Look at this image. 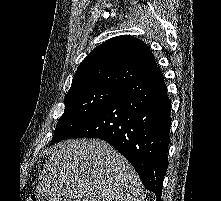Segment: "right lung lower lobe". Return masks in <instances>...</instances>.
Here are the masks:
<instances>
[{
	"label": "right lung lower lobe",
	"instance_id": "right-lung-lower-lobe-1",
	"mask_svg": "<svg viewBox=\"0 0 221 201\" xmlns=\"http://www.w3.org/2000/svg\"><path fill=\"white\" fill-rule=\"evenodd\" d=\"M171 101L159 68L121 88L70 138H99L133 165L143 185L161 201L168 167Z\"/></svg>",
	"mask_w": 221,
	"mask_h": 201
}]
</instances>
